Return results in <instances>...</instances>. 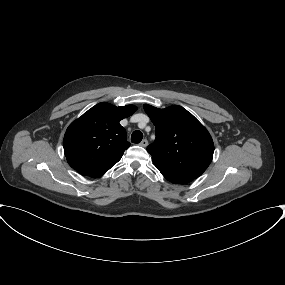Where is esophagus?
<instances>
[{
    "instance_id": "esophagus-1",
    "label": "esophagus",
    "mask_w": 285,
    "mask_h": 285,
    "mask_svg": "<svg viewBox=\"0 0 285 285\" xmlns=\"http://www.w3.org/2000/svg\"><path fill=\"white\" fill-rule=\"evenodd\" d=\"M147 145H148V141L146 139H143L140 143V146L142 147H147Z\"/></svg>"
}]
</instances>
